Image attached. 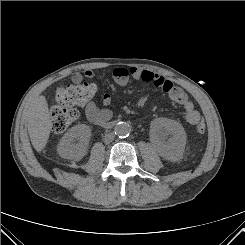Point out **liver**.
Segmentation results:
<instances>
[{"instance_id": "obj_1", "label": "liver", "mask_w": 245, "mask_h": 245, "mask_svg": "<svg viewBox=\"0 0 245 245\" xmlns=\"http://www.w3.org/2000/svg\"><path fill=\"white\" fill-rule=\"evenodd\" d=\"M28 133L37 152H41L49 139L52 120L46 98L41 95L31 105L28 114Z\"/></svg>"}]
</instances>
